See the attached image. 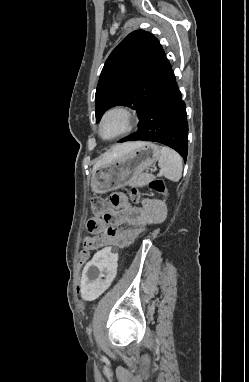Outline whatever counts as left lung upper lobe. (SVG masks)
<instances>
[{
  "label": "left lung upper lobe",
  "mask_w": 249,
  "mask_h": 382,
  "mask_svg": "<svg viewBox=\"0 0 249 382\" xmlns=\"http://www.w3.org/2000/svg\"><path fill=\"white\" fill-rule=\"evenodd\" d=\"M171 69L159 41L148 32L127 35L105 62L97 85L96 121L117 105L132 107L139 119Z\"/></svg>",
  "instance_id": "left-lung-upper-lobe-1"
}]
</instances>
